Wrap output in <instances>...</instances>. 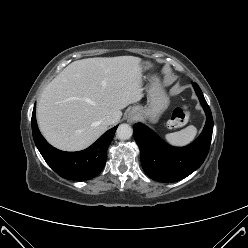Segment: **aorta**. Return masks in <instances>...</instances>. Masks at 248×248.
I'll return each mask as SVG.
<instances>
[{
    "label": "aorta",
    "mask_w": 248,
    "mask_h": 248,
    "mask_svg": "<svg viewBox=\"0 0 248 248\" xmlns=\"http://www.w3.org/2000/svg\"><path fill=\"white\" fill-rule=\"evenodd\" d=\"M133 130L128 124H121L116 131V137L120 140H127L132 136Z\"/></svg>",
    "instance_id": "obj_1"
}]
</instances>
